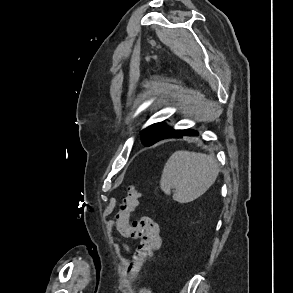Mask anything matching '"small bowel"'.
Returning a JSON list of instances; mask_svg holds the SVG:
<instances>
[{"label": "small bowel", "mask_w": 293, "mask_h": 293, "mask_svg": "<svg viewBox=\"0 0 293 293\" xmlns=\"http://www.w3.org/2000/svg\"><path fill=\"white\" fill-rule=\"evenodd\" d=\"M115 240L123 247V249L126 252H130L131 251V247L126 242H124L123 240H121L119 237H115Z\"/></svg>", "instance_id": "obj_1"}]
</instances>
